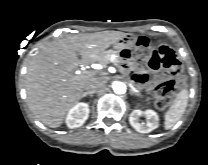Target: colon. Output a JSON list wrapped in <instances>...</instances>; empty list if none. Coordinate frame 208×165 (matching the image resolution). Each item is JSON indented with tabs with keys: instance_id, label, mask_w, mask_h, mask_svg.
I'll return each mask as SVG.
<instances>
[{
	"instance_id": "1",
	"label": "colon",
	"mask_w": 208,
	"mask_h": 165,
	"mask_svg": "<svg viewBox=\"0 0 208 165\" xmlns=\"http://www.w3.org/2000/svg\"><path fill=\"white\" fill-rule=\"evenodd\" d=\"M134 58L141 63H145L151 69L163 67L169 71L167 78H153L152 80L157 96L155 105L159 110H166L171 105L175 92L183 85V82L178 78L182 69L180 61L172 49L167 46L153 49L149 40L145 37L137 39Z\"/></svg>"
}]
</instances>
